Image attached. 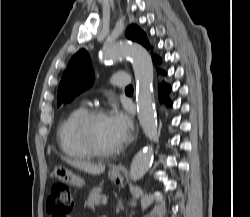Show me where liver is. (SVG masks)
<instances>
[{
    "mask_svg": "<svg viewBox=\"0 0 250 217\" xmlns=\"http://www.w3.org/2000/svg\"><path fill=\"white\" fill-rule=\"evenodd\" d=\"M64 160L71 166H74L84 172H87L93 175H99L103 173L105 170L104 165H95V164H92L91 162H86L82 160H70V159H64Z\"/></svg>",
    "mask_w": 250,
    "mask_h": 217,
    "instance_id": "1",
    "label": "liver"
}]
</instances>
